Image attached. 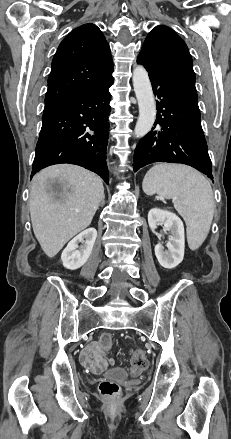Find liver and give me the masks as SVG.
I'll return each instance as SVG.
<instances>
[{
	"label": "liver",
	"instance_id": "obj_1",
	"mask_svg": "<svg viewBox=\"0 0 231 439\" xmlns=\"http://www.w3.org/2000/svg\"><path fill=\"white\" fill-rule=\"evenodd\" d=\"M58 179L59 186L53 182ZM104 198L102 180L77 166L59 164L36 174L30 190V215L35 237L52 258L87 228Z\"/></svg>",
	"mask_w": 231,
	"mask_h": 439
}]
</instances>
